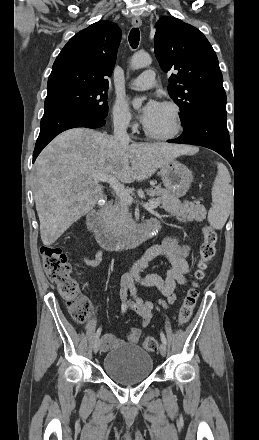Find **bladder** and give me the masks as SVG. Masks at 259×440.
<instances>
[{
  "instance_id": "bladder-1",
  "label": "bladder",
  "mask_w": 259,
  "mask_h": 440,
  "mask_svg": "<svg viewBox=\"0 0 259 440\" xmlns=\"http://www.w3.org/2000/svg\"><path fill=\"white\" fill-rule=\"evenodd\" d=\"M103 370L113 381L132 385L146 380L153 371L151 355L135 344L121 345L107 353Z\"/></svg>"
}]
</instances>
